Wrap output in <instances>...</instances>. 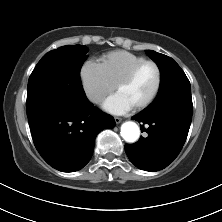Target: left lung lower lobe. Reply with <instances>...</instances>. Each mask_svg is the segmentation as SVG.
I'll list each match as a JSON object with an SVG mask.
<instances>
[{"instance_id":"obj_1","label":"left lung lower lobe","mask_w":222,"mask_h":222,"mask_svg":"<svg viewBox=\"0 0 222 222\" xmlns=\"http://www.w3.org/2000/svg\"><path fill=\"white\" fill-rule=\"evenodd\" d=\"M192 98L169 95L154 101L146 109L132 117L142 125L148 137H141L135 144H126L130 161L146 171H158L167 167L180 153L188 135L192 120Z\"/></svg>"}]
</instances>
